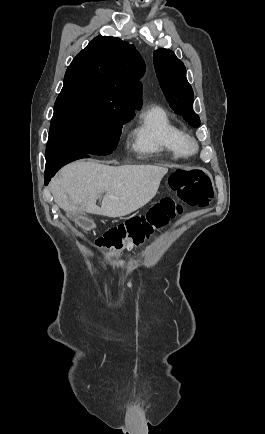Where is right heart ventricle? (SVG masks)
I'll use <instances>...</instances> for the list:
<instances>
[{
    "instance_id": "e07e8e85",
    "label": "right heart ventricle",
    "mask_w": 265,
    "mask_h": 434,
    "mask_svg": "<svg viewBox=\"0 0 265 434\" xmlns=\"http://www.w3.org/2000/svg\"><path fill=\"white\" fill-rule=\"evenodd\" d=\"M133 148L142 154H156L173 163H181L185 156L180 139L186 133L175 124L169 112L158 103H149L137 110Z\"/></svg>"
}]
</instances>
